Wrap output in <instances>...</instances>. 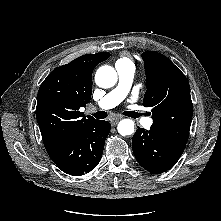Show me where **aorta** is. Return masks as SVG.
<instances>
[{
	"label": "aorta",
	"mask_w": 221,
	"mask_h": 221,
	"mask_svg": "<svg viewBox=\"0 0 221 221\" xmlns=\"http://www.w3.org/2000/svg\"><path fill=\"white\" fill-rule=\"evenodd\" d=\"M117 78L116 70L108 65L101 66L95 74V82L101 88L113 87ZM117 130L123 136L131 135L134 133V122L131 119H123L119 122Z\"/></svg>",
	"instance_id": "obj_1"
}]
</instances>
